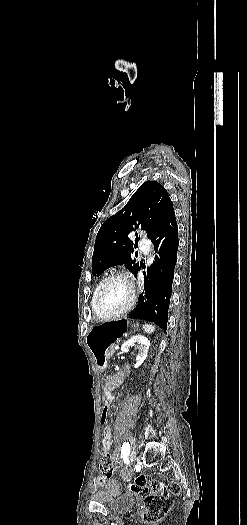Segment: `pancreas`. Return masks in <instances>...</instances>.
Returning a JSON list of instances; mask_svg holds the SVG:
<instances>
[{"label": "pancreas", "instance_id": "1", "mask_svg": "<svg viewBox=\"0 0 247 525\" xmlns=\"http://www.w3.org/2000/svg\"><path fill=\"white\" fill-rule=\"evenodd\" d=\"M115 350H113V346H110L109 348L105 349L104 360H111V355L114 353Z\"/></svg>", "mask_w": 247, "mask_h": 525}]
</instances>
